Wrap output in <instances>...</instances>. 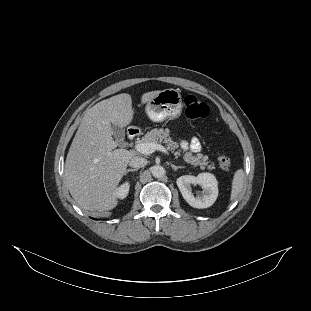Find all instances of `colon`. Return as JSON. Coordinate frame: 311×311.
<instances>
[{"instance_id":"1","label":"colon","mask_w":311,"mask_h":311,"mask_svg":"<svg viewBox=\"0 0 311 311\" xmlns=\"http://www.w3.org/2000/svg\"><path fill=\"white\" fill-rule=\"evenodd\" d=\"M184 108L185 115L191 120L203 119L208 116L210 111L208 105L203 100L193 95H187L184 98ZM218 162L223 170H229L231 167L230 158L225 153H221L218 156Z\"/></svg>"}]
</instances>
